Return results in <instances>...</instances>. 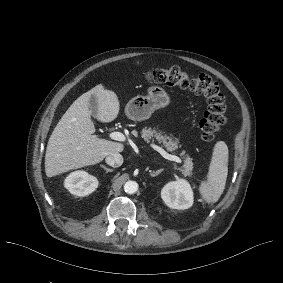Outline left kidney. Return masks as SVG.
I'll return each instance as SVG.
<instances>
[{
  "mask_svg": "<svg viewBox=\"0 0 283 283\" xmlns=\"http://www.w3.org/2000/svg\"><path fill=\"white\" fill-rule=\"evenodd\" d=\"M164 203L173 209L184 210L193 205V191L190 184L181 178L167 183L161 190Z\"/></svg>",
  "mask_w": 283,
  "mask_h": 283,
  "instance_id": "1",
  "label": "left kidney"
}]
</instances>
